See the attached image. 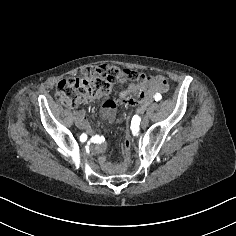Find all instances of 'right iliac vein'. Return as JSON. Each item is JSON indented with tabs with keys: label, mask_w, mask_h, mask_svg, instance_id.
Listing matches in <instances>:
<instances>
[{
	"label": "right iliac vein",
	"mask_w": 236,
	"mask_h": 236,
	"mask_svg": "<svg viewBox=\"0 0 236 236\" xmlns=\"http://www.w3.org/2000/svg\"><path fill=\"white\" fill-rule=\"evenodd\" d=\"M93 131H94V130H93L92 128H88V129H87V132H88V133H92Z\"/></svg>",
	"instance_id": "right-iliac-vein-1"
}]
</instances>
